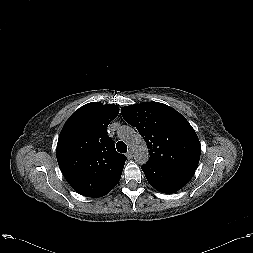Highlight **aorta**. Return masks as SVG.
<instances>
[{
  "label": "aorta",
  "instance_id": "762f6f07",
  "mask_svg": "<svg viewBox=\"0 0 253 253\" xmlns=\"http://www.w3.org/2000/svg\"><path fill=\"white\" fill-rule=\"evenodd\" d=\"M118 136L132 148L135 162L145 164L148 161L149 153L146 143L138 132L132 127L122 126L118 131Z\"/></svg>",
  "mask_w": 253,
  "mask_h": 253
}]
</instances>
